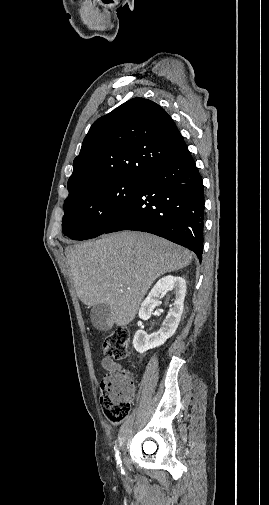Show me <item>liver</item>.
<instances>
[{
    "label": "liver",
    "instance_id": "1",
    "mask_svg": "<svg viewBox=\"0 0 269 505\" xmlns=\"http://www.w3.org/2000/svg\"><path fill=\"white\" fill-rule=\"evenodd\" d=\"M77 296L88 306L108 304L113 322L136 316L153 282L190 264L192 253L148 233L122 231L65 249Z\"/></svg>",
    "mask_w": 269,
    "mask_h": 505
}]
</instances>
